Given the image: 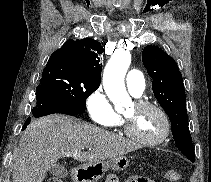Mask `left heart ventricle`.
I'll return each mask as SVG.
<instances>
[{"instance_id": "b2bd125f", "label": "left heart ventricle", "mask_w": 211, "mask_h": 182, "mask_svg": "<svg viewBox=\"0 0 211 182\" xmlns=\"http://www.w3.org/2000/svg\"><path fill=\"white\" fill-rule=\"evenodd\" d=\"M124 115L130 120L133 131L143 139H154L163 131V120L152 108H138L133 104Z\"/></svg>"}]
</instances>
